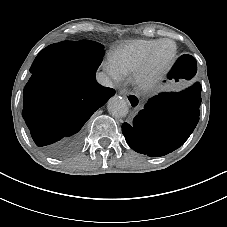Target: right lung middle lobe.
<instances>
[{
	"label": "right lung middle lobe",
	"instance_id": "dd1d6c3e",
	"mask_svg": "<svg viewBox=\"0 0 227 227\" xmlns=\"http://www.w3.org/2000/svg\"><path fill=\"white\" fill-rule=\"evenodd\" d=\"M70 57L84 71L96 72L103 57V46L90 40L71 41ZM39 69L30 68L31 73H36Z\"/></svg>",
	"mask_w": 227,
	"mask_h": 227
}]
</instances>
